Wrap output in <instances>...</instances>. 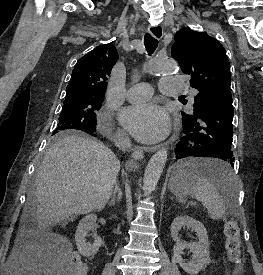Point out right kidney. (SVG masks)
Wrapping results in <instances>:
<instances>
[{
    "label": "right kidney",
    "instance_id": "obj_1",
    "mask_svg": "<svg viewBox=\"0 0 263 275\" xmlns=\"http://www.w3.org/2000/svg\"><path fill=\"white\" fill-rule=\"evenodd\" d=\"M97 216L95 214H89L85 216L78 224L75 241L77 249L84 257H91L99 250L102 244V240L97 234H94L93 244L87 243L85 237L88 232L95 229Z\"/></svg>",
    "mask_w": 263,
    "mask_h": 275
}]
</instances>
